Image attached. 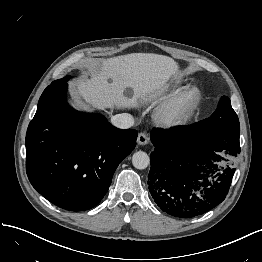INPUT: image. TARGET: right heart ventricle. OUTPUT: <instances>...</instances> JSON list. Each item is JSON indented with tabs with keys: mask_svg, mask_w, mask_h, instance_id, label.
Listing matches in <instances>:
<instances>
[{
	"mask_svg": "<svg viewBox=\"0 0 262 262\" xmlns=\"http://www.w3.org/2000/svg\"><path fill=\"white\" fill-rule=\"evenodd\" d=\"M180 88V83L179 82H172L164 87L162 90V98H168L172 95H174Z\"/></svg>",
	"mask_w": 262,
	"mask_h": 262,
	"instance_id": "1",
	"label": "right heart ventricle"
}]
</instances>
